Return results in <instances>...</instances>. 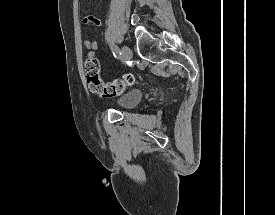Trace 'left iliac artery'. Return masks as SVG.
<instances>
[{
    "mask_svg": "<svg viewBox=\"0 0 275 215\" xmlns=\"http://www.w3.org/2000/svg\"><path fill=\"white\" fill-rule=\"evenodd\" d=\"M111 49L113 51V55L114 57H119L121 55L120 51L118 50L117 46L115 45H111Z\"/></svg>",
    "mask_w": 275,
    "mask_h": 215,
    "instance_id": "44dca946",
    "label": "left iliac artery"
}]
</instances>
